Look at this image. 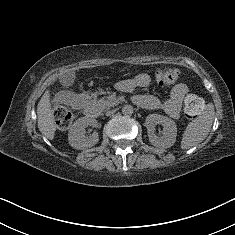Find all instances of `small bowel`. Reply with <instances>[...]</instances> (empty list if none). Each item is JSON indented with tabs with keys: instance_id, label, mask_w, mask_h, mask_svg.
<instances>
[{
	"instance_id": "1",
	"label": "small bowel",
	"mask_w": 235,
	"mask_h": 235,
	"mask_svg": "<svg viewBox=\"0 0 235 235\" xmlns=\"http://www.w3.org/2000/svg\"><path fill=\"white\" fill-rule=\"evenodd\" d=\"M148 82L149 77L146 74H141L133 81H123L119 84V87L124 89L129 87L137 89L146 86ZM187 92V87L182 83H178L172 88L168 98L165 100H161L152 95L138 94L133 97V101L143 108L163 110L170 118L177 119L182 101Z\"/></svg>"
}]
</instances>
